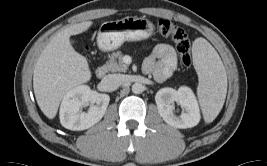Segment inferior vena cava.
<instances>
[{"label":"inferior vena cava","instance_id":"1","mask_svg":"<svg viewBox=\"0 0 267 166\" xmlns=\"http://www.w3.org/2000/svg\"><path fill=\"white\" fill-rule=\"evenodd\" d=\"M125 82V77L122 74H108L102 81L101 85L105 91L111 92L116 90Z\"/></svg>","mask_w":267,"mask_h":166}]
</instances>
